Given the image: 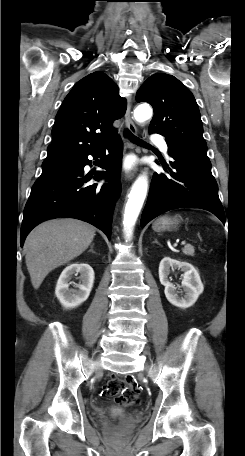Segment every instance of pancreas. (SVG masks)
<instances>
[{"label":"pancreas","mask_w":245,"mask_h":456,"mask_svg":"<svg viewBox=\"0 0 245 456\" xmlns=\"http://www.w3.org/2000/svg\"><path fill=\"white\" fill-rule=\"evenodd\" d=\"M182 252L185 254V255H188V256H194V247L192 245H186L183 249H182Z\"/></svg>","instance_id":"obj_1"}]
</instances>
